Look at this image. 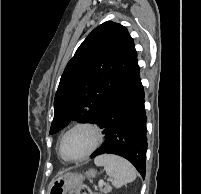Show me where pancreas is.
Returning a JSON list of instances; mask_svg holds the SVG:
<instances>
[{
    "label": "pancreas",
    "mask_w": 201,
    "mask_h": 194,
    "mask_svg": "<svg viewBox=\"0 0 201 194\" xmlns=\"http://www.w3.org/2000/svg\"><path fill=\"white\" fill-rule=\"evenodd\" d=\"M110 190H111V188H110L109 186H106V187L102 188L100 191H101L103 194H107Z\"/></svg>",
    "instance_id": "obj_1"
}]
</instances>
